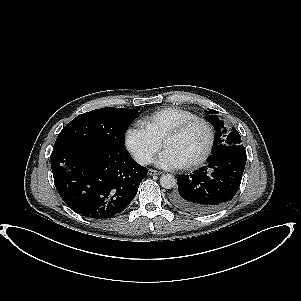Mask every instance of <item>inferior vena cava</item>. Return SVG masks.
Here are the masks:
<instances>
[{
	"label": "inferior vena cava",
	"mask_w": 301,
	"mask_h": 301,
	"mask_svg": "<svg viewBox=\"0 0 301 301\" xmlns=\"http://www.w3.org/2000/svg\"><path fill=\"white\" fill-rule=\"evenodd\" d=\"M135 160L140 165H148L149 163H151L152 158L146 154H139L135 157Z\"/></svg>",
	"instance_id": "obj_1"
}]
</instances>
